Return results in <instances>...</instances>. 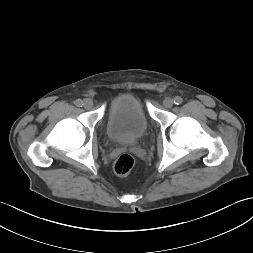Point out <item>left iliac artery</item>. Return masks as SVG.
<instances>
[{
    "mask_svg": "<svg viewBox=\"0 0 253 253\" xmlns=\"http://www.w3.org/2000/svg\"><path fill=\"white\" fill-rule=\"evenodd\" d=\"M183 102V99L180 96L174 98V104L179 105Z\"/></svg>",
    "mask_w": 253,
    "mask_h": 253,
    "instance_id": "obj_1",
    "label": "left iliac artery"
}]
</instances>
